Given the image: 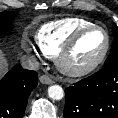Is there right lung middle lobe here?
<instances>
[{
  "label": "right lung middle lobe",
  "mask_w": 118,
  "mask_h": 118,
  "mask_svg": "<svg viewBox=\"0 0 118 118\" xmlns=\"http://www.w3.org/2000/svg\"><path fill=\"white\" fill-rule=\"evenodd\" d=\"M10 13L7 11L0 12V26L5 24L8 21Z\"/></svg>",
  "instance_id": "1"
}]
</instances>
